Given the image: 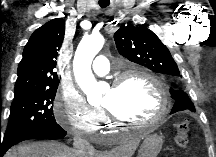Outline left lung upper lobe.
<instances>
[{
    "instance_id": "1",
    "label": "left lung upper lobe",
    "mask_w": 216,
    "mask_h": 157,
    "mask_svg": "<svg viewBox=\"0 0 216 157\" xmlns=\"http://www.w3.org/2000/svg\"><path fill=\"white\" fill-rule=\"evenodd\" d=\"M118 52L131 62L149 68L153 72L181 77L177 64L168 48L157 35L144 25L121 27L114 34ZM176 104H184L195 111L192 101L180 90H170Z\"/></svg>"
}]
</instances>
